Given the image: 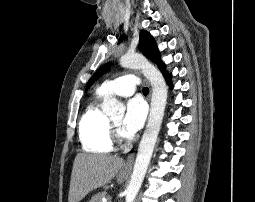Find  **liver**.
<instances>
[{
    "mask_svg": "<svg viewBox=\"0 0 255 202\" xmlns=\"http://www.w3.org/2000/svg\"><path fill=\"white\" fill-rule=\"evenodd\" d=\"M123 163L117 156L78 154L73 163L68 202H79L91 190L109 183Z\"/></svg>",
    "mask_w": 255,
    "mask_h": 202,
    "instance_id": "obj_1",
    "label": "liver"
}]
</instances>
